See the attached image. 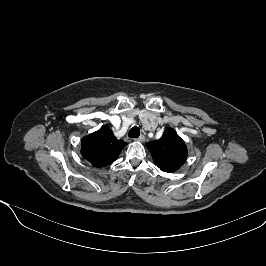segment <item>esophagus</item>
<instances>
[{
  "instance_id": "esophagus-1",
  "label": "esophagus",
  "mask_w": 266,
  "mask_h": 266,
  "mask_svg": "<svg viewBox=\"0 0 266 266\" xmlns=\"http://www.w3.org/2000/svg\"><path fill=\"white\" fill-rule=\"evenodd\" d=\"M137 141L139 142H144L145 141V136L142 134L138 138H136Z\"/></svg>"
}]
</instances>
